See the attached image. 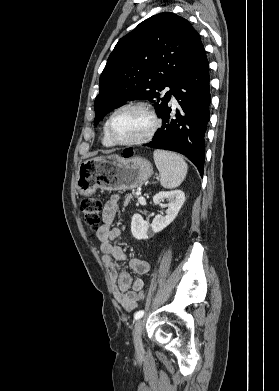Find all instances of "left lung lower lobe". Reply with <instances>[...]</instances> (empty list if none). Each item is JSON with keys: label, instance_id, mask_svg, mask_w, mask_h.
<instances>
[{"label": "left lung lower lobe", "instance_id": "1", "mask_svg": "<svg viewBox=\"0 0 279 391\" xmlns=\"http://www.w3.org/2000/svg\"><path fill=\"white\" fill-rule=\"evenodd\" d=\"M209 81L208 60L203 48L194 65L171 93L177 99L180 109L172 115L168 101L160 115L162 127L154 134V139L146 144L185 155L201 175L204 168L205 133L210 120ZM124 155L130 154L124 151Z\"/></svg>", "mask_w": 279, "mask_h": 391}]
</instances>
